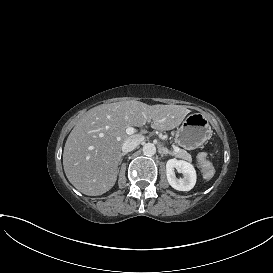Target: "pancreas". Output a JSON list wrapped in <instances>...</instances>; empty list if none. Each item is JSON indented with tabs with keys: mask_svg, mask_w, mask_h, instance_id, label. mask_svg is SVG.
I'll return each mask as SVG.
<instances>
[{
	"mask_svg": "<svg viewBox=\"0 0 273 273\" xmlns=\"http://www.w3.org/2000/svg\"><path fill=\"white\" fill-rule=\"evenodd\" d=\"M178 147V146H177ZM180 148V147H179ZM182 149V148H180ZM171 154L175 157H178V158H182V159H186L188 161H191L192 158H191V155L185 150V149H182V152H175L174 150L171 151Z\"/></svg>",
	"mask_w": 273,
	"mask_h": 273,
	"instance_id": "pancreas-1",
	"label": "pancreas"
}]
</instances>
